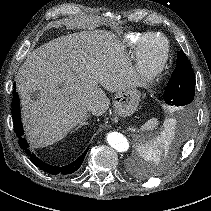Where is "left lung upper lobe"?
Instances as JSON below:
<instances>
[{
  "label": "left lung upper lobe",
  "instance_id": "obj_1",
  "mask_svg": "<svg viewBox=\"0 0 211 211\" xmlns=\"http://www.w3.org/2000/svg\"><path fill=\"white\" fill-rule=\"evenodd\" d=\"M195 96V77L192 66L183 52L177 54L176 68L165 89L163 99L166 104L182 109H190Z\"/></svg>",
  "mask_w": 211,
  "mask_h": 211
}]
</instances>
